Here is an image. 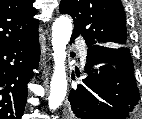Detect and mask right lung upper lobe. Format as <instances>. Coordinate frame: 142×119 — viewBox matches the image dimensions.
<instances>
[{"label": "right lung upper lobe", "instance_id": "right-lung-upper-lobe-1", "mask_svg": "<svg viewBox=\"0 0 142 119\" xmlns=\"http://www.w3.org/2000/svg\"><path fill=\"white\" fill-rule=\"evenodd\" d=\"M34 0H0V48L30 38L38 32Z\"/></svg>", "mask_w": 142, "mask_h": 119}]
</instances>
